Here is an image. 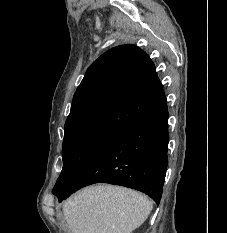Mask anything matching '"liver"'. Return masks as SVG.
Masks as SVG:
<instances>
[{"label":"liver","mask_w":227,"mask_h":233,"mask_svg":"<svg viewBox=\"0 0 227 233\" xmlns=\"http://www.w3.org/2000/svg\"><path fill=\"white\" fill-rule=\"evenodd\" d=\"M151 210L145 195L111 185L87 187L63 205L71 233H132Z\"/></svg>","instance_id":"1"}]
</instances>
